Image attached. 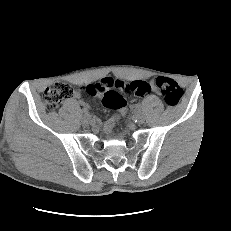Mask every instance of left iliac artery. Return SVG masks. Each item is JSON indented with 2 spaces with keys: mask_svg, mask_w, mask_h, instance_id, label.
<instances>
[{
  "mask_svg": "<svg viewBox=\"0 0 231 231\" xmlns=\"http://www.w3.org/2000/svg\"><path fill=\"white\" fill-rule=\"evenodd\" d=\"M134 110L135 111H141L142 110V105L141 104H135L134 105Z\"/></svg>",
  "mask_w": 231,
  "mask_h": 231,
  "instance_id": "44dca946",
  "label": "left iliac artery"
}]
</instances>
